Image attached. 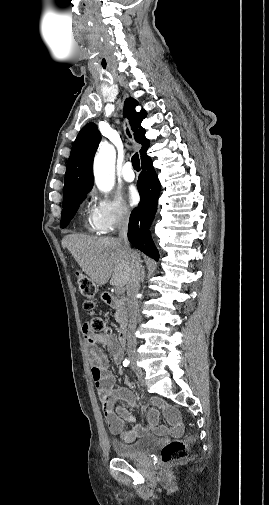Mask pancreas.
<instances>
[{"label": "pancreas", "mask_w": 269, "mask_h": 505, "mask_svg": "<svg viewBox=\"0 0 269 505\" xmlns=\"http://www.w3.org/2000/svg\"><path fill=\"white\" fill-rule=\"evenodd\" d=\"M114 317H115L116 322L123 323V321L125 319L124 310L122 308H118L114 314Z\"/></svg>", "instance_id": "pancreas-1"}]
</instances>
